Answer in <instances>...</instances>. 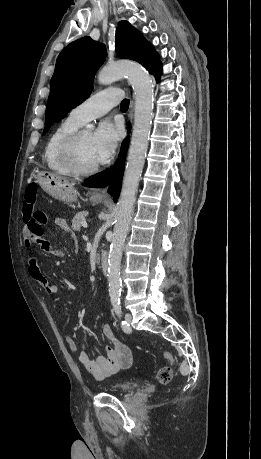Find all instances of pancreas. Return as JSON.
Returning a JSON list of instances; mask_svg holds the SVG:
<instances>
[{
  "mask_svg": "<svg viewBox=\"0 0 261 459\" xmlns=\"http://www.w3.org/2000/svg\"><path fill=\"white\" fill-rule=\"evenodd\" d=\"M87 216H88L87 211L78 212L72 220V226H71L72 229L74 231H79L81 227V222L85 220Z\"/></svg>",
  "mask_w": 261,
  "mask_h": 459,
  "instance_id": "cf45deb5",
  "label": "pancreas"
}]
</instances>
